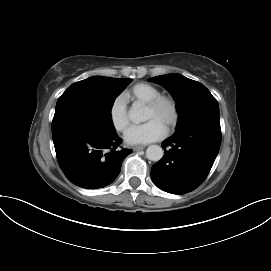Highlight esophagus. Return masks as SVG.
Listing matches in <instances>:
<instances>
[{
    "label": "esophagus",
    "mask_w": 271,
    "mask_h": 271,
    "mask_svg": "<svg viewBox=\"0 0 271 271\" xmlns=\"http://www.w3.org/2000/svg\"><path fill=\"white\" fill-rule=\"evenodd\" d=\"M145 147H146V146H144V145H137V146H134V147H133V150H134V151H140V150L145 149Z\"/></svg>",
    "instance_id": "1"
}]
</instances>
